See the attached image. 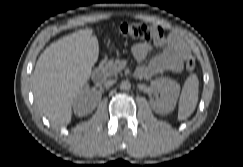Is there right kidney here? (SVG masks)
<instances>
[{"mask_svg":"<svg viewBox=\"0 0 243 167\" xmlns=\"http://www.w3.org/2000/svg\"><path fill=\"white\" fill-rule=\"evenodd\" d=\"M100 99L101 95L97 91L90 90L85 85L72 102L74 113L80 117L85 116L95 109Z\"/></svg>","mask_w":243,"mask_h":167,"instance_id":"ca27d5eb","label":"right kidney"}]
</instances>
